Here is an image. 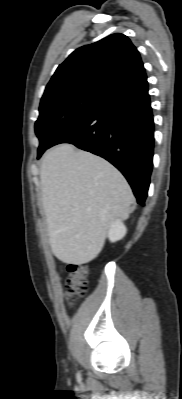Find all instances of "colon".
Instances as JSON below:
<instances>
[{"label": "colon", "mask_w": 182, "mask_h": 399, "mask_svg": "<svg viewBox=\"0 0 182 399\" xmlns=\"http://www.w3.org/2000/svg\"><path fill=\"white\" fill-rule=\"evenodd\" d=\"M69 279L66 287V296L69 300H75L86 292L88 270L82 264L71 263L67 267Z\"/></svg>", "instance_id": "5ec220e1"}]
</instances>
